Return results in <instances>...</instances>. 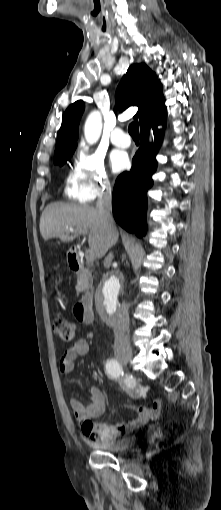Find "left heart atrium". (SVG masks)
Returning a JSON list of instances; mask_svg holds the SVG:
<instances>
[{"mask_svg":"<svg viewBox=\"0 0 221 510\" xmlns=\"http://www.w3.org/2000/svg\"><path fill=\"white\" fill-rule=\"evenodd\" d=\"M111 165L115 172L123 170L127 165V157L123 152L114 151L111 155Z\"/></svg>","mask_w":221,"mask_h":510,"instance_id":"left-heart-atrium-1","label":"left heart atrium"}]
</instances>
